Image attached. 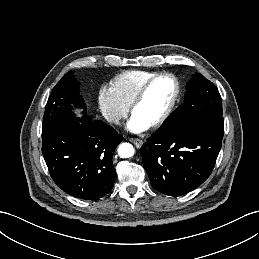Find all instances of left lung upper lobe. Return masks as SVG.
<instances>
[{
  "mask_svg": "<svg viewBox=\"0 0 259 259\" xmlns=\"http://www.w3.org/2000/svg\"><path fill=\"white\" fill-rule=\"evenodd\" d=\"M184 103L158 129L169 134L201 116L222 117V101L218 89L201 74L192 75L187 84Z\"/></svg>",
  "mask_w": 259,
  "mask_h": 259,
  "instance_id": "5c2ea615",
  "label": "left lung upper lobe"
}]
</instances>
